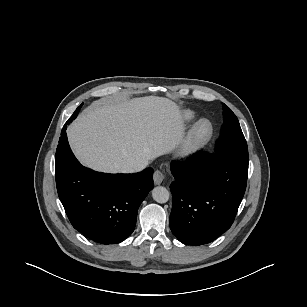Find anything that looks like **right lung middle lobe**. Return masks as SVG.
Returning <instances> with one entry per match:
<instances>
[{"label": "right lung middle lobe", "instance_id": "1", "mask_svg": "<svg viewBox=\"0 0 307 307\" xmlns=\"http://www.w3.org/2000/svg\"><path fill=\"white\" fill-rule=\"evenodd\" d=\"M82 104L75 110V112L73 113V115L71 116V118L67 121L68 123H70L72 120H74L77 117V114L81 108Z\"/></svg>", "mask_w": 307, "mask_h": 307}]
</instances>
